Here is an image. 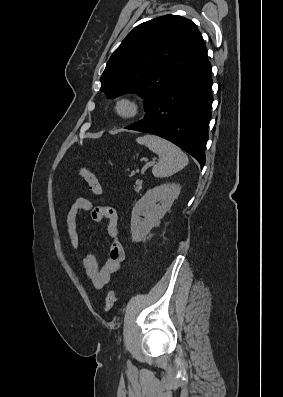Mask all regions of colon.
<instances>
[{
    "mask_svg": "<svg viewBox=\"0 0 283 397\" xmlns=\"http://www.w3.org/2000/svg\"><path fill=\"white\" fill-rule=\"evenodd\" d=\"M77 172L85 180L89 189L95 195H98V196L102 195V193H103L102 186H101L98 178L94 174V172L89 167L84 166V165L79 166L77 168ZM115 302H116V297H115L114 292L109 291L105 298V310L110 311L114 307Z\"/></svg>",
    "mask_w": 283,
    "mask_h": 397,
    "instance_id": "1",
    "label": "colon"
}]
</instances>
